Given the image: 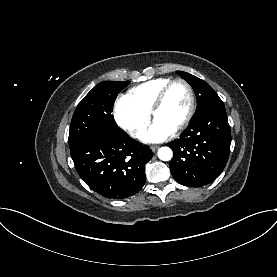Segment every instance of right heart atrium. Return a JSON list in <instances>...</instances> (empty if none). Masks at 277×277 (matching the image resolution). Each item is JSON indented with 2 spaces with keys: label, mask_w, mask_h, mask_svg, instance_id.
<instances>
[{
  "label": "right heart atrium",
  "mask_w": 277,
  "mask_h": 277,
  "mask_svg": "<svg viewBox=\"0 0 277 277\" xmlns=\"http://www.w3.org/2000/svg\"><path fill=\"white\" fill-rule=\"evenodd\" d=\"M113 114L118 126L134 138L139 137L149 123V115L140 111L127 96L116 100Z\"/></svg>",
  "instance_id": "d8ad5b80"
}]
</instances>
